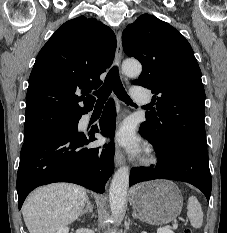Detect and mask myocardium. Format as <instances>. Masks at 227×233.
Returning <instances> with one entry per match:
<instances>
[{
	"label": "myocardium",
	"mask_w": 227,
	"mask_h": 233,
	"mask_svg": "<svg viewBox=\"0 0 227 233\" xmlns=\"http://www.w3.org/2000/svg\"><path fill=\"white\" fill-rule=\"evenodd\" d=\"M155 161H156V158L151 152L145 155L142 159V162L144 164H153Z\"/></svg>",
	"instance_id": "f54148a6"
}]
</instances>
